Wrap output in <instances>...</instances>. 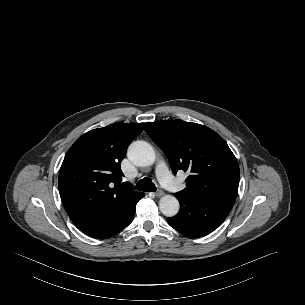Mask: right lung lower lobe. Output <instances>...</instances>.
I'll list each match as a JSON object with an SVG mask.
<instances>
[{"label": "right lung lower lobe", "instance_id": "1", "mask_svg": "<svg viewBox=\"0 0 305 305\" xmlns=\"http://www.w3.org/2000/svg\"><path fill=\"white\" fill-rule=\"evenodd\" d=\"M144 197L140 193L130 204L111 217L90 225L78 227L83 233L94 238H107L127 227L133 220L136 203Z\"/></svg>", "mask_w": 305, "mask_h": 305}]
</instances>
